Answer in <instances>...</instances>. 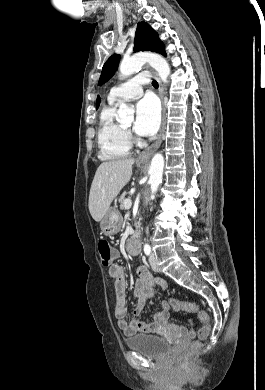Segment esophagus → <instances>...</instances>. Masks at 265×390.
I'll return each mask as SVG.
<instances>
[{
	"instance_id": "34e87169",
	"label": "esophagus",
	"mask_w": 265,
	"mask_h": 390,
	"mask_svg": "<svg viewBox=\"0 0 265 390\" xmlns=\"http://www.w3.org/2000/svg\"><path fill=\"white\" fill-rule=\"evenodd\" d=\"M149 69L153 73L155 79L158 82V86H159L158 93H159V97H160L161 102H162V124H161V128H160L159 134H158L155 142L151 146H149L147 149H145L139 155V157L137 159L139 162H146V161H148L151 158V156L154 153V151L159 148V146L161 145V142H162V137H163L164 130H165V125H166L163 85H162L161 80L158 77L157 73L155 71H153L151 68H149Z\"/></svg>"
}]
</instances>
